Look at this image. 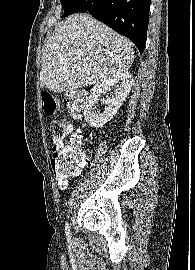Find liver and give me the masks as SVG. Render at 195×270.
Masks as SVG:
<instances>
[{
    "mask_svg": "<svg viewBox=\"0 0 195 270\" xmlns=\"http://www.w3.org/2000/svg\"><path fill=\"white\" fill-rule=\"evenodd\" d=\"M133 60L130 40L89 14H73L46 41L40 84L72 91L128 71Z\"/></svg>",
    "mask_w": 195,
    "mask_h": 270,
    "instance_id": "1",
    "label": "liver"
}]
</instances>
